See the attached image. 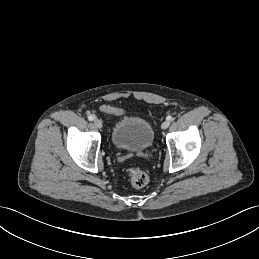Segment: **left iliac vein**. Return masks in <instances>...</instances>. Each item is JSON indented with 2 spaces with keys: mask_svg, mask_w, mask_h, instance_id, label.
I'll use <instances>...</instances> for the list:
<instances>
[{
  "mask_svg": "<svg viewBox=\"0 0 259 259\" xmlns=\"http://www.w3.org/2000/svg\"><path fill=\"white\" fill-rule=\"evenodd\" d=\"M169 125H170V122L166 120L161 124V128L165 130L169 127Z\"/></svg>",
  "mask_w": 259,
  "mask_h": 259,
  "instance_id": "4c4485c4",
  "label": "left iliac vein"
}]
</instances>
